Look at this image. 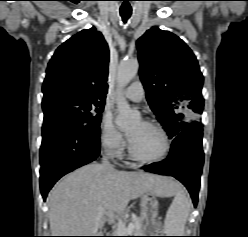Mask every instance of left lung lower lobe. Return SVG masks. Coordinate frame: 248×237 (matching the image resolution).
I'll return each mask as SVG.
<instances>
[{
    "mask_svg": "<svg viewBox=\"0 0 248 237\" xmlns=\"http://www.w3.org/2000/svg\"><path fill=\"white\" fill-rule=\"evenodd\" d=\"M202 130L201 125L182 130L174 138L168 158L145 169L147 172L173 176L182 182L190 192L194 206L197 205L204 162Z\"/></svg>",
    "mask_w": 248,
    "mask_h": 237,
    "instance_id": "0a47b994",
    "label": "left lung lower lobe"
}]
</instances>
